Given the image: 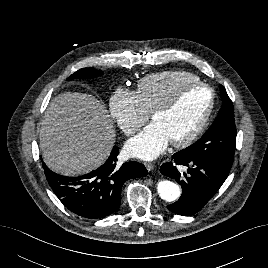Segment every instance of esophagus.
Returning <instances> with one entry per match:
<instances>
[{
  "instance_id": "esophagus-1",
  "label": "esophagus",
  "mask_w": 268,
  "mask_h": 268,
  "mask_svg": "<svg viewBox=\"0 0 268 268\" xmlns=\"http://www.w3.org/2000/svg\"><path fill=\"white\" fill-rule=\"evenodd\" d=\"M144 165L148 171H152L155 168V165L151 162H145Z\"/></svg>"
}]
</instances>
